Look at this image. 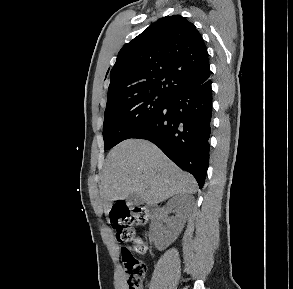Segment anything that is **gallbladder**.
Wrapping results in <instances>:
<instances>
[{"label": "gallbladder", "instance_id": "1", "mask_svg": "<svg viewBox=\"0 0 293 289\" xmlns=\"http://www.w3.org/2000/svg\"><path fill=\"white\" fill-rule=\"evenodd\" d=\"M126 202L129 206H135V205L142 204L140 197L137 196V194H135V193L130 194L126 199Z\"/></svg>", "mask_w": 293, "mask_h": 289}]
</instances>
